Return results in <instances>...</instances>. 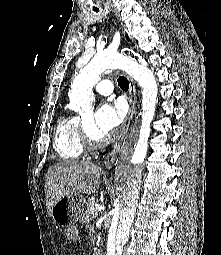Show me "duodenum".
I'll return each mask as SVG.
<instances>
[{
    "label": "duodenum",
    "mask_w": 221,
    "mask_h": 255,
    "mask_svg": "<svg viewBox=\"0 0 221 255\" xmlns=\"http://www.w3.org/2000/svg\"><path fill=\"white\" fill-rule=\"evenodd\" d=\"M94 255H103V254H102V252L97 251V252H95V254H94Z\"/></svg>",
    "instance_id": "1"
}]
</instances>
